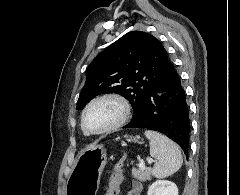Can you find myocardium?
Instances as JSON below:
<instances>
[{
	"label": "myocardium",
	"instance_id": "f54148a6",
	"mask_svg": "<svg viewBox=\"0 0 240 195\" xmlns=\"http://www.w3.org/2000/svg\"><path fill=\"white\" fill-rule=\"evenodd\" d=\"M102 103H114L119 108V114L117 118L109 125L95 131H89L85 125V119L87 113L96 105ZM131 113V107L129 101L122 95L114 92L105 93L92 99L84 108L81 116V126L85 134L87 135H101L120 128L128 120Z\"/></svg>",
	"mask_w": 240,
	"mask_h": 195
}]
</instances>
